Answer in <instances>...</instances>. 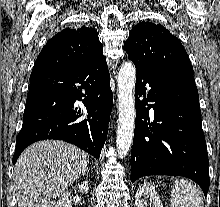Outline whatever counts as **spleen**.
I'll return each instance as SVG.
<instances>
[{
    "mask_svg": "<svg viewBox=\"0 0 220 207\" xmlns=\"http://www.w3.org/2000/svg\"><path fill=\"white\" fill-rule=\"evenodd\" d=\"M171 196V207H203L201 192L186 179L175 180Z\"/></svg>",
    "mask_w": 220,
    "mask_h": 207,
    "instance_id": "3e777b00",
    "label": "spleen"
}]
</instances>
